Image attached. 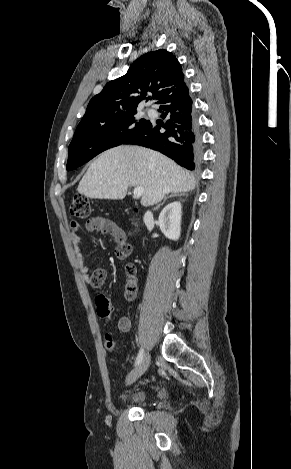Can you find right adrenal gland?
<instances>
[{
    "mask_svg": "<svg viewBox=\"0 0 291 469\" xmlns=\"http://www.w3.org/2000/svg\"><path fill=\"white\" fill-rule=\"evenodd\" d=\"M182 195L184 196L185 194L184 193H180V194L179 193H172V194H170L169 196L165 197L163 199V201L154 208V211L158 210L159 207L161 205H163L166 202L167 199L172 198V197L182 196Z\"/></svg>",
    "mask_w": 291,
    "mask_h": 469,
    "instance_id": "2a0ac1e0",
    "label": "right adrenal gland"
}]
</instances>
